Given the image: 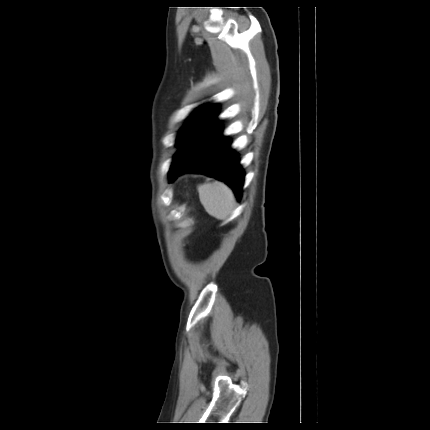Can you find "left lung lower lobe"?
I'll list each match as a JSON object with an SVG mask.
<instances>
[{
	"label": "left lung lower lobe",
	"instance_id": "0a47b994",
	"mask_svg": "<svg viewBox=\"0 0 430 430\" xmlns=\"http://www.w3.org/2000/svg\"><path fill=\"white\" fill-rule=\"evenodd\" d=\"M231 142L222 135V126L215 119H206L174 155L169 181L184 172L203 173L230 185L237 197H242L244 171L239 155L230 148Z\"/></svg>",
	"mask_w": 430,
	"mask_h": 430
}]
</instances>
